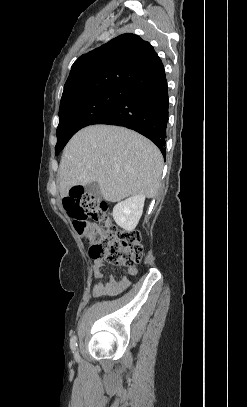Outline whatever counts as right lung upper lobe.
Segmentation results:
<instances>
[{
    "instance_id": "right-lung-upper-lobe-1",
    "label": "right lung upper lobe",
    "mask_w": 247,
    "mask_h": 407,
    "mask_svg": "<svg viewBox=\"0 0 247 407\" xmlns=\"http://www.w3.org/2000/svg\"><path fill=\"white\" fill-rule=\"evenodd\" d=\"M163 70L164 66L149 42L135 34H122L74 62L64 85L60 107L106 88H135Z\"/></svg>"
}]
</instances>
